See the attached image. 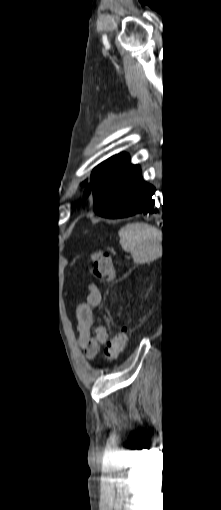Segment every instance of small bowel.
I'll use <instances>...</instances> for the list:
<instances>
[{
	"label": "small bowel",
	"mask_w": 221,
	"mask_h": 510,
	"mask_svg": "<svg viewBox=\"0 0 221 510\" xmlns=\"http://www.w3.org/2000/svg\"><path fill=\"white\" fill-rule=\"evenodd\" d=\"M101 299L100 289L91 284L88 288L87 302L79 304L76 311L79 345L90 360L95 358L100 345L105 344L109 337L106 327L93 314V309L100 305ZM92 329L94 337H91Z\"/></svg>",
	"instance_id": "c3829d8e"
}]
</instances>
